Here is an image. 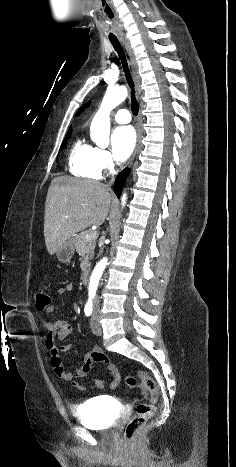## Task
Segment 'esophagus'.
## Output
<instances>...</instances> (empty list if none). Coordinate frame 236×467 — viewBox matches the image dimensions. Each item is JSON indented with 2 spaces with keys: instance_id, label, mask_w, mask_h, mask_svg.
I'll use <instances>...</instances> for the list:
<instances>
[{
  "instance_id": "1",
  "label": "esophagus",
  "mask_w": 236,
  "mask_h": 467,
  "mask_svg": "<svg viewBox=\"0 0 236 467\" xmlns=\"http://www.w3.org/2000/svg\"><path fill=\"white\" fill-rule=\"evenodd\" d=\"M122 41H123V44H124V46H125V48L127 50L129 58H130V65H131L133 78H134L135 85H136L137 96H138V98H140L141 93H142V89H141V78H140V75H139V72H138V64H137L134 52H133L128 40L126 38H122ZM140 137H141V133H140L139 125H138V127H137V144H136L135 151H134L128 165H130L132 163V161L134 160V158H135V156H136V154H137V152H138V150L140 148Z\"/></svg>"
}]
</instances>
